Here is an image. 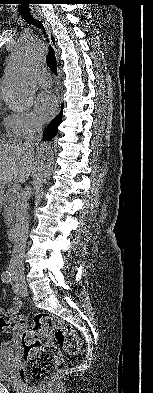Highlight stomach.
I'll return each mask as SVG.
<instances>
[{
  "instance_id": "0dacf381",
  "label": "stomach",
  "mask_w": 153,
  "mask_h": 393,
  "mask_svg": "<svg viewBox=\"0 0 153 393\" xmlns=\"http://www.w3.org/2000/svg\"><path fill=\"white\" fill-rule=\"evenodd\" d=\"M2 195H3V190L0 189V199H1Z\"/></svg>"
}]
</instances>
